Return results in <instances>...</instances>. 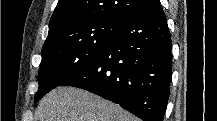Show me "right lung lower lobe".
Instances as JSON below:
<instances>
[{"label": "right lung lower lobe", "mask_w": 217, "mask_h": 121, "mask_svg": "<svg viewBox=\"0 0 217 121\" xmlns=\"http://www.w3.org/2000/svg\"><path fill=\"white\" fill-rule=\"evenodd\" d=\"M172 44L159 0L126 19L98 58L59 86L119 104L143 121H163L172 78Z\"/></svg>", "instance_id": "obj_1"}]
</instances>
